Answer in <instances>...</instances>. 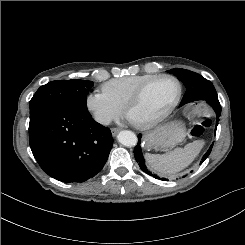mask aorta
Here are the masks:
<instances>
[{"instance_id": "obj_1", "label": "aorta", "mask_w": 245, "mask_h": 245, "mask_svg": "<svg viewBox=\"0 0 245 245\" xmlns=\"http://www.w3.org/2000/svg\"><path fill=\"white\" fill-rule=\"evenodd\" d=\"M117 139L119 143L127 147H132L137 143V136L134 132L129 130H123L119 132Z\"/></svg>"}]
</instances>
